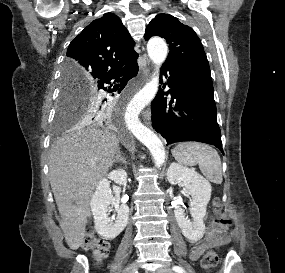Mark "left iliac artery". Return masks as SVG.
Here are the masks:
<instances>
[{"mask_svg":"<svg viewBox=\"0 0 285 273\" xmlns=\"http://www.w3.org/2000/svg\"><path fill=\"white\" fill-rule=\"evenodd\" d=\"M172 269L177 273H185L184 269L180 266H173Z\"/></svg>","mask_w":285,"mask_h":273,"instance_id":"1","label":"left iliac artery"}]
</instances>
